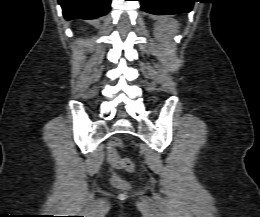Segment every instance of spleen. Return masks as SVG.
<instances>
[{"instance_id": "1", "label": "spleen", "mask_w": 260, "mask_h": 217, "mask_svg": "<svg viewBox=\"0 0 260 217\" xmlns=\"http://www.w3.org/2000/svg\"><path fill=\"white\" fill-rule=\"evenodd\" d=\"M172 28L175 31L177 29V24L172 25Z\"/></svg>"}]
</instances>
